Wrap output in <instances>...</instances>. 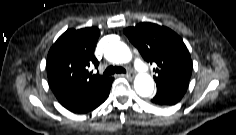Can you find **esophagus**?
Here are the masks:
<instances>
[{"instance_id":"1","label":"esophagus","mask_w":236,"mask_h":135,"mask_svg":"<svg viewBox=\"0 0 236 135\" xmlns=\"http://www.w3.org/2000/svg\"><path fill=\"white\" fill-rule=\"evenodd\" d=\"M122 76H124V77H126L128 79H132L133 78V75L131 73H127V74H124Z\"/></svg>"}]
</instances>
